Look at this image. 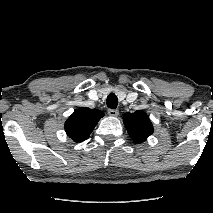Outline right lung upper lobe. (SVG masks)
I'll use <instances>...</instances> for the list:
<instances>
[{
  "instance_id": "obj_1",
  "label": "right lung upper lobe",
  "mask_w": 213,
  "mask_h": 213,
  "mask_svg": "<svg viewBox=\"0 0 213 213\" xmlns=\"http://www.w3.org/2000/svg\"><path fill=\"white\" fill-rule=\"evenodd\" d=\"M104 116V113L98 109H89L81 107L65 122V131L67 135L75 142L86 140L98 121Z\"/></svg>"
}]
</instances>
